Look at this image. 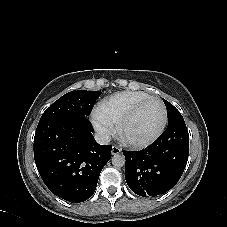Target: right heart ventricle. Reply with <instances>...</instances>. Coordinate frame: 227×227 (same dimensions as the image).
Returning a JSON list of instances; mask_svg holds the SVG:
<instances>
[{
    "label": "right heart ventricle",
    "instance_id": "e07e8e85",
    "mask_svg": "<svg viewBox=\"0 0 227 227\" xmlns=\"http://www.w3.org/2000/svg\"><path fill=\"white\" fill-rule=\"evenodd\" d=\"M150 97L139 91H123L104 99L96 108L97 113L113 125L118 124L136 104Z\"/></svg>",
    "mask_w": 227,
    "mask_h": 227
}]
</instances>
